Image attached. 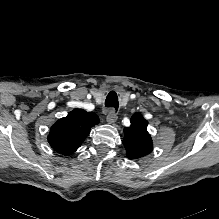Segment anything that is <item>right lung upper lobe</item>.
<instances>
[{
    "label": "right lung upper lobe",
    "instance_id": "1",
    "mask_svg": "<svg viewBox=\"0 0 219 219\" xmlns=\"http://www.w3.org/2000/svg\"><path fill=\"white\" fill-rule=\"evenodd\" d=\"M98 123L95 113L75 109L51 127L48 142L56 152L69 156L81 146L90 128Z\"/></svg>",
    "mask_w": 219,
    "mask_h": 219
}]
</instances>
